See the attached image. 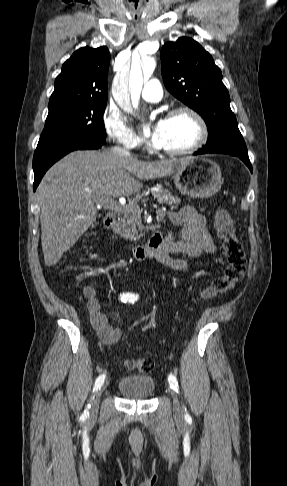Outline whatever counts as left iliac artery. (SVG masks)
I'll return each mask as SVG.
<instances>
[{"instance_id":"44dca946","label":"left iliac artery","mask_w":287,"mask_h":486,"mask_svg":"<svg viewBox=\"0 0 287 486\" xmlns=\"http://www.w3.org/2000/svg\"><path fill=\"white\" fill-rule=\"evenodd\" d=\"M135 300H137V298L131 299L128 302L134 303ZM168 382L170 384V387L178 393V388H179L178 381H177L176 377L173 374H170L168 376ZM185 416L188 417L189 415L186 413Z\"/></svg>"}]
</instances>
